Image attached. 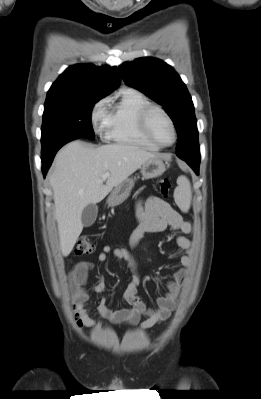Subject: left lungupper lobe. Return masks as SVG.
<instances>
[{"instance_id": "5c2ea615", "label": "left lung upper lobe", "mask_w": 261, "mask_h": 399, "mask_svg": "<svg viewBox=\"0 0 261 399\" xmlns=\"http://www.w3.org/2000/svg\"><path fill=\"white\" fill-rule=\"evenodd\" d=\"M119 72L129 86L140 90L166 109L179 137L176 155L181 159L200 158L192 98L174 69L159 59L143 57L123 63Z\"/></svg>"}]
</instances>
